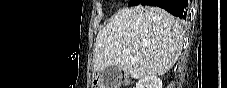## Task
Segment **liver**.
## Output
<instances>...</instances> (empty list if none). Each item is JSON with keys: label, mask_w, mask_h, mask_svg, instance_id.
I'll list each match as a JSON object with an SVG mask.
<instances>
[{"label": "liver", "mask_w": 227, "mask_h": 88, "mask_svg": "<svg viewBox=\"0 0 227 88\" xmlns=\"http://www.w3.org/2000/svg\"><path fill=\"white\" fill-rule=\"evenodd\" d=\"M183 38L181 23L164 9L122 8L96 37L94 71L115 66L135 79L164 75L176 63ZM123 49L130 50L135 61Z\"/></svg>", "instance_id": "liver-1"}]
</instances>
